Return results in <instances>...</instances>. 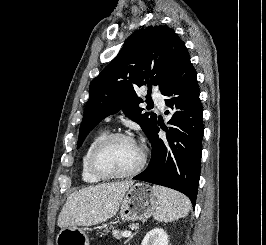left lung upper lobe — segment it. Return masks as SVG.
<instances>
[{"mask_svg":"<svg viewBox=\"0 0 266 245\" xmlns=\"http://www.w3.org/2000/svg\"><path fill=\"white\" fill-rule=\"evenodd\" d=\"M189 57L184 42L168 26L140 28L125 42L117 57L90 84L79 148L88 133L106 116L123 110L149 136L157 121L155 114L142 113L139 87L152 85L161 93L171 82L182 62Z\"/></svg>","mask_w":266,"mask_h":245,"instance_id":"5c2ea615","label":"left lung upper lobe"}]
</instances>
